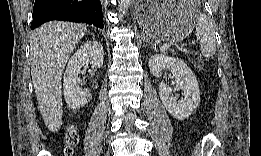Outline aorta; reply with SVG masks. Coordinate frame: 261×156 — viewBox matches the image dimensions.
Returning <instances> with one entry per match:
<instances>
[{"label": "aorta", "mask_w": 261, "mask_h": 156, "mask_svg": "<svg viewBox=\"0 0 261 156\" xmlns=\"http://www.w3.org/2000/svg\"><path fill=\"white\" fill-rule=\"evenodd\" d=\"M131 4V0H121L119 3L120 11H125Z\"/></svg>", "instance_id": "obj_1"}]
</instances>
